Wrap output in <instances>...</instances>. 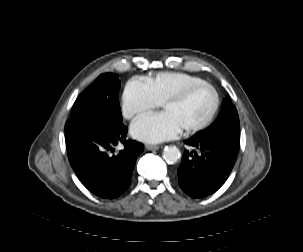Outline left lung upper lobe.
I'll list each match as a JSON object with an SVG mask.
<instances>
[{"instance_id": "1", "label": "left lung upper lobe", "mask_w": 303, "mask_h": 252, "mask_svg": "<svg viewBox=\"0 0 303 252\" xmlns=\"http://www.w3.org/2000/svg\"><path fill=\"white\" fill-rule=\"evenodd\" d=\"M192 138H202L207 141L239 146V117L235 107L228 98L224 100L220 115L214 122L213 127L206 129L203 133H197Z\"/></svg>"}]
</instances>
